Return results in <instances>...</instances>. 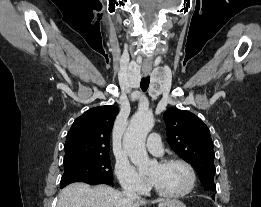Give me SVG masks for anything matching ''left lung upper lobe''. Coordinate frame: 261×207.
Wrapping results in <instances>:
<instances>
[{"mask_svg": "<svg viewBox=\"0 0 261 207\" xmlns=\"http://www.w3.org/2000/svg\"><path fill=\"white\" fill-rule=\"evenodd\" d=\"M163 118L171 148L195 168L205 190L215 191L213 142L208 127L195 114L177 108L166 110Z\"/></svg>", "mask_w": 261, "mask_h": 207, "instance_id": "obj_1", "label": "left lung upper lobe"}]
</instances>
